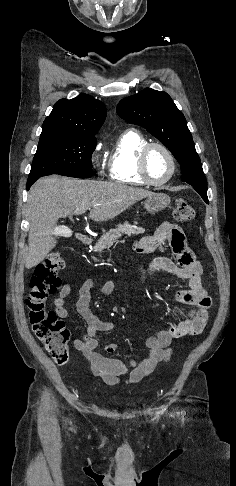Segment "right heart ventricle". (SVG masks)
Segmentation results:
<instances>
[{
	"mask_svg": "<svg viewBox=\"0 0 236 486\" xmlns=\"http://www.w3.org/2000/svg\"><path fill=\"white\" fill-rule=\"evenodd\" d=\"M148 143L147 138L136 130L123 132L109 153V175L116 182L141 186L146 183L138 173V153Z\"/></svg>",
	"mask_w": 236,
	"mask_h": 486,
	"instance_id": "1",
	"label": "right heart ventricle"
}]
</instances>
